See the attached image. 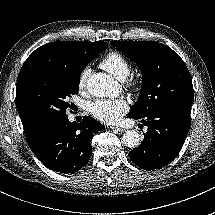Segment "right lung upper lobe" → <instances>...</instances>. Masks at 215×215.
Instances as JSON below:
<instances>
[{"mask_svg":"<svg viewBox=\"0 0 215 215\" xmlns=\"http://www.w3.org/2000/svg\"><path fill=\"white\" fill-rule=\"evenodd\" d=\"M108 44L103 41H57L37 48L23 64L17 78L16 99L22 89L31 81L50 76L62 68L75 67L84 57H89L105 50ZM101 51V52H102ZM21 117L25 136L32 134L35 126L29 125L18 110Z\"/></svg>","mask_w":215,"mask_h":215,"instance_id":"right-lung-upper-lobe-1","label":"right lung upper lobe"}]
</instances>
